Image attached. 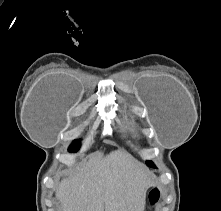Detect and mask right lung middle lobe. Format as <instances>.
Listing matches in <instances>:
<instances>
[{"mask_svg":"<svg viewBox=\"0 0 221 211\" xmlns=\"http://www.w3.org/2000/svg\"><path fill=\"white\" fill-rule=\"evenodd\" d=\"M80 148V142L78 140H75L69 147V152H76Z\"/></svg>","mask_w":221,"mask_h":211,"instance_id":"obj_1","label":"right lung middle lobe"}]
</instances>
